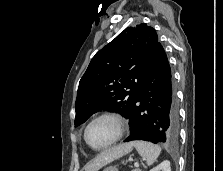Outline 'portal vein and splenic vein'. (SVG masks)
Returning a JSON list of instances; mask_svg holds the SVG:
<instances>
[{
  "instance_id": "portal-vein-and-splenic-vein-1",
  "label": "portal vein and splenic vein",
  "mask_w": 223,
  "mask_h": 171,
  "mask_svg": "<svg viewBox=\"0 0 223 171\" xmlns=\"http://www.w3.org/2000/svg\"><path fill=\"white\" fill-rule=\"evenodd\" d=\"M134 166H135L136 168H138V167H139V163H138V162H135V163H134Z\"/></svg>"
}]
</instances>
